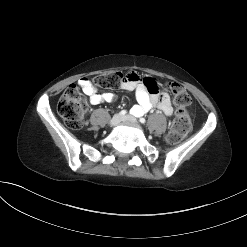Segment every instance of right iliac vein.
<instances>
[{
    "label": "right iliac vein",
    "mask_w": 247,
    "mask_h": 247,
    "mask_svg": "<svg viewBox=\"0 0 247 247\" xmlns=\"http://www.w3.org/2000/svg\"><path fill=\"white\" fill-rule=\"evenodd\" d=\"M121 120H122V116L120 114H115L110 120V125L116 126L120 123Z\"/></svg>",
    "instance_id": "right-iliac-vein-1"
}]
</instances>
